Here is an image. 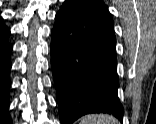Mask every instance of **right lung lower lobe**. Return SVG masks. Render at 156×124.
<instances>
[{
  "label": "right lung lower lobe",
  "mask_w": 156,
  "mask_h": 124,
  "mask_svg": "<svg viewBox=\"0 0 156 124\" xmlns=\"http://www.w3.org/2000/svg\"><path fill=\"white\" fill-rule=\"evenodd\" d=\"M9 30L4 26L0 27V124H11L8 112L9 108V73L11 68L10 55L12 46L7 42Z\"/></svg>",
  "instance_id": "obj_1"
}]
</instances>
